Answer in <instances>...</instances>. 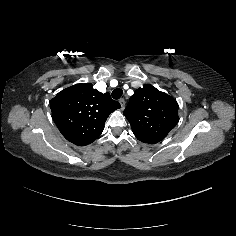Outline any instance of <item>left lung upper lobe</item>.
<instances>
[{"label":"left lung upper lobe","instance_id":"obj_1","mask_svg":"<svg viewBox=\"0 0 236 236\" xmlns=\"http://www.w3.org/2000/svg\"><path fill=\"white\" fill-rule=\"evenodd\" d=\"M124 115L136 138L145 143L164 139L179 119L176 100L149 84L130 97Z\"/></svg>","mask_w":236,"mask_h":236}]
</instances>
